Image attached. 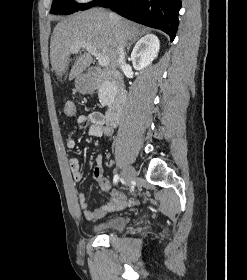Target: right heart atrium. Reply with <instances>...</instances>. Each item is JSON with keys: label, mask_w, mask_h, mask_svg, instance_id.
I'll list each match as a JSON object with an SVG mask.
<instances>
[{"label": "right heart atrium", "mask_w": 247, "mask_h": 280, "mask_svg": "<svg viewBox=\"0 0 247 280\" xmlns=\"http://www.w3.org/2000/svg\"><path fill=\"white\" fill-rule=\"evenodd\" d=\"M77 2H80V3H87L89 2L90 0H76Z\"/></svg>", "instance_id": "right-heart-atrium-1"}]
</instances>
